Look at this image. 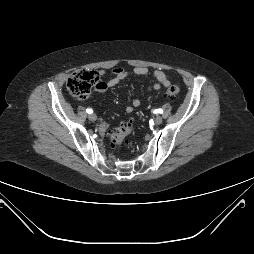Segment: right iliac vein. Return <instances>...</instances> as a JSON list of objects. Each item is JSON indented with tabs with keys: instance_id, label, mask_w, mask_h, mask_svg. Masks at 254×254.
Here are the masks:
<instances>
[{
	"instance_id": "1",
	"label": "right iliac vein",
	"mask_w": 254,
	"mask_h": 254,
	"mask_svg": "<svg viewBox=\"0 0 254 254\" xmlns=\"http://www.w3.org/2000/svg\"><path fill=\"white\" fill-rule=\"evenodd\" d=\"M88 118H89L90 121H96L97 116H96L95 114L91 113V114L88 116Z\"/></svg>"
}]
</instances>
